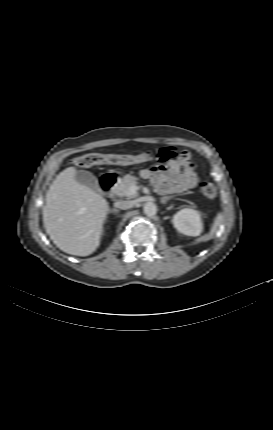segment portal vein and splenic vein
<instances>
[{
	"label": "portal vein and splenic vein",
	"instance_id": "18ae733b",
	"mask_svg": "<svg viewBox=\"0 0 273 430\" xmlns=\"http://www.w3.org/2000/svg\"><path fill=\"white\" fill-rule=\"evenodd\" d=\"M138 188H139L138 186H136V185H132V186L129 188L128 195L135 194V193L137 192Z\"/></svg>",
	"mask_w": 273,
	"mask_h": 430
}]
</instances>
